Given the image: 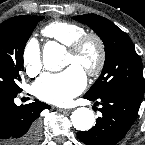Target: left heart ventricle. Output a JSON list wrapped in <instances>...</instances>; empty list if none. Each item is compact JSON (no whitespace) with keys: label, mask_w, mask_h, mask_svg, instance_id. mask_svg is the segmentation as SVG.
Returning <instances> with one entry per match:
<instances>
[{"label":"left heart ventricle","mask_w":145,"mask_h":145,"mask_svg":"<svg viewBox=\"0 0 145 145\" xmlns=\"http://www.w3.org/2000/svg\"><path fill=\"white\" fill-rule=\"evenodd\" d=\"M98 58L97 47L94 43L89 42L78 56H73L68 52L65 66L77 65L83 71L87 68L95 66Z\"/></svg>","instance_id":"left-heart-ventricle-1"}]
</instances>
